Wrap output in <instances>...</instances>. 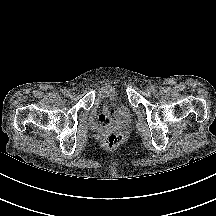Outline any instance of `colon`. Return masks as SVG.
<instances>
[{
  "label": "colon",
  "mask_w": 216,
  "mask_h": 216,
  "mask_svg": "<svg viewBox=\"0 0 216 216\" xmlns=\"http://www.w3.org/2000/svg\"><path fill=\"white\" fill-rule=\"evenodd\" d=\"M123 139V135L119 132H112L105 137L104 144L106 147L114 149L121 145Z\"/></svg>",
  "instance_id": "5ec220e1"
}]
</instances>
